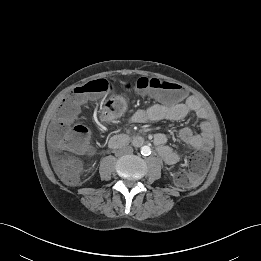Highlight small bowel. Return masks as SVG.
I'll use <instances>...</instances> for the list:
<instances>
[{"label":"small bowel","mask_w":261,"mask_h":261,"mask_svg":"<svg viewBox=\"0 0 261 261\" xmlns=\"http://www.w3.org/2000/svg\"><path fill=\"white\" fill-rule=\"evenodd\" d=\"M190 113H194L201 119L200 132L191 128H183L179 131V139L191 149L210 150L213 146V134L210 123L206 120V112L199 99L190 96L184 103L174 105L152 104L151 106L137 110L131 116L135 123L148 121H180ZM154 144L160 157L170 165L180 160V155L167 144V137L163 133L154 135Z\"/></svg>","instance_id":"c3829d8e"}]
</instances>
